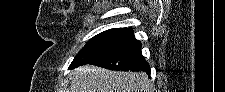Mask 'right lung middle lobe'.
Listing matches in <instances>:
<instances>
[{
  "label": "right lung middle lobe",
  "instance_id": "1",
  "mask_svg": "<svg viewBox=\"0 0 225 92\" xmlns=\"http://www.w3.org/2000/svg\"><path fill=\"white\" fill-rule=\"evenodd\" d=\"M135 41L137 40L131 28H113L104 31L86 43L77 56H75L69 69L88 64L105 54L126 47Z\"/></svg>",
  "mask_w": 225,
  "mask_h": 92
}]
</instances>
